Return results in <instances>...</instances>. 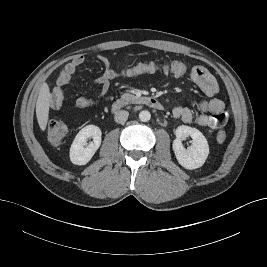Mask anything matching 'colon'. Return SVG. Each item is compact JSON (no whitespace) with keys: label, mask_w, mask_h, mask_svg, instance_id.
Returning a JSON list of instances; mask_svg holds the SVG:
<instances>
[{"label":"colon","mask_w":267,"mask_h":267,"mask_svg":"<svg viewBox=\"0 0 267 267\" xmlns=\"http://www.w3.org/2000/svg\"><path fill=\"white\" fill-rule=\"evenodd\" d=\"M187 71V64L183 61H173L165 64L154 62H139L116 71V79H128L142 74L164 73L176 77L182 76ZM47 137L52 144H60L67 134V126L61 121H50L47 125ZM218 142L226 139V133L219 131L216 136Z\"/></svg>","instance_id":"1"}]
</instances>
